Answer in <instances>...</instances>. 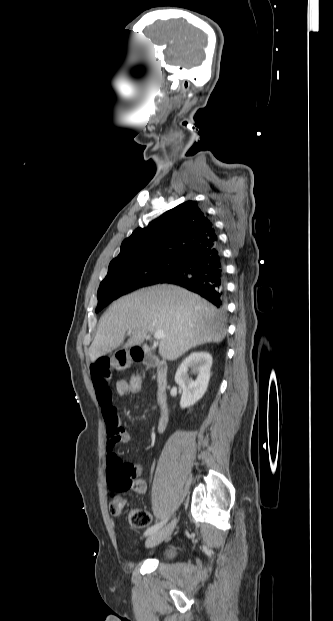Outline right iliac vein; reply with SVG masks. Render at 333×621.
Here are the masks:
<instances>
[{"label":"right iliac vein","mask_w":333,"mask_h":621,"mask_svg":"<svg viewBox=\"0 0 333 621\" xmlns=\"http://www.w3.org/2000/svg\"><path fill=\"white\" fill-rule=\"evenodd\" d=\"M175 524H176V521L174 520L171 523H169L167 526L162 528L161 530L151 534V536H149L148 539L146 540V545L148 547H153L163 542L166 538H168L171 535L175 527Z\"/></svg>","instance_id":"obj_1"}]
</instances>
